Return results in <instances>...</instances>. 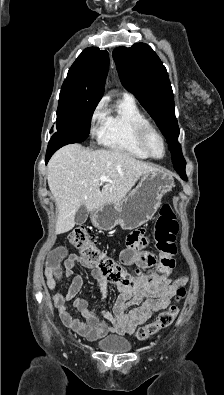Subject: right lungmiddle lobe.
Instances as JSON below:
<instances>
[{
  "instance_id": "1",
  "label": "right lung middle lobe",
  "mask_w": 224,
  "mask_h": 395,
  "mask_svg": "<svg viewBox=\"0 0 224 395\" xmlns=\"http://www.w3.org/2000/svg\"><path fill=\"white\" fill-rule=\"evenodd\" d=\"M100 99L91 94L61 88L52 138L75 143L84 141L89 135L91 118Z\"/></svg>"
}]
</instances>
